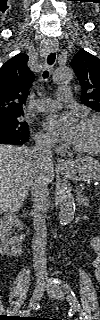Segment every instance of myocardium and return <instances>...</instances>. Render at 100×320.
<instances>
[{"instance_id": "myocardium-1", "label": "myocardium", "mask_w": 100, "mask_h": 320, "mask_svg": "<svg viewBox=\"0 0 100 320\" xmlns=\"http://www.w3.org/2000/svg\"><path fill=\"white\" fill-rule=\"evenodd\" d=\"M81 122H92L96 125V128H97L96 143L94 146L89 148H79V147L72 146L71 149L74 152L80 153V154H93L98 152L100 150V119L99 117L95 115H87L82 118Z\"/></svg>"}]
</instances>
